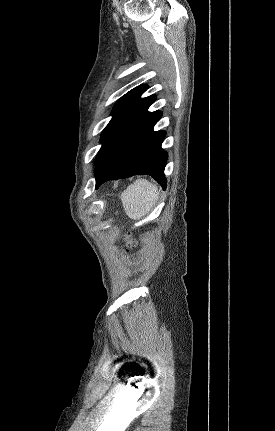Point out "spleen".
<instances>
[{"mask_svg": "<svg viewBox=\"0 0 275 431\" xmlns=\"http://www.w3.org/2000/svg\"><path fill=\"white\" fill-rule=\"evenodd\" d=\"M158 196L155 185L145 179H139L122 192L121 201L128 217L139 220L150 212Z\"/></svg>", "mask_w": 275, "mask_h": 431, "instance_id": "obj_1", "label": "spleen"}]
</instances>
